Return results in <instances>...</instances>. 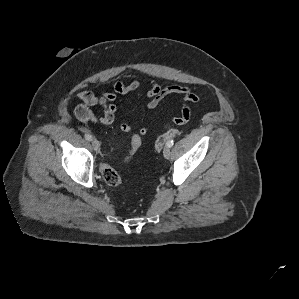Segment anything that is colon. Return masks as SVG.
Here are the masks:
<instances>
[{
    "label": "colon",
    "instance_id": "5ec220e1",
    "mask_svg": "<svg viewBox=\"0 0 299 299\" xmlns=\"http://www.w3.org/2000/svg\"><path fill=\"white\" fill-rule=\"evenodd\" d=\"M179 131L174 128L168 129L165 133L160 135L155 143L154 147L157 151H160L166 142L177 136ZM143 136L139 132H134L131 135L129 149L126 154V160H129L141 147ZM101 175L106 184L110 186H117L121 183V177L119 173L109 165L103 164L101 166Z\"/></svg>",
    "mask_w": 299,
    "mask_h": 299
}]
</instances>
